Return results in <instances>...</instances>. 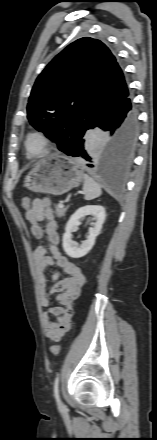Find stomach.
I'll return each mask as SVG.
<instances>
[{"label":"stomach","instance_id":"0dacf381","mask_svg":"<svg viewBox=\"0 0 157 440\" xmlns=\"http://www.w3.org/2000/svg\"><path fill=\"white\" fill-rule=\"evenodd\" d=\"M83 168L65 155L53 154L37 161L24 178V187L44 194L62 195L82 182Z\"/></svg>","mask_w":157,"mask_h":440}]
</instances>
